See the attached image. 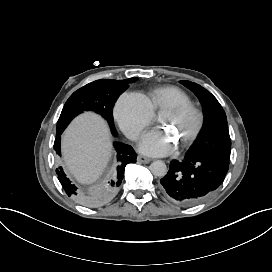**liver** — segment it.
I'll return each mask as SVG.
<instances>
[{
    "instance_id": "liver-1",
    "label": "liver",
    "mask_w": 272,
    "mask_h": 272,
    "mask_svg": "<svg viewBox=\"0 0 272 272\" xmlns=\"http://www.w3.org/2000/svg\"><path fill=\"white\" fill-rule=\"evenodd\" d=\"M63 151L68 173L82 183H92L110 157L106 125L94 115L79 117L64 135Z\"/></svg>"
}]
</instances>
